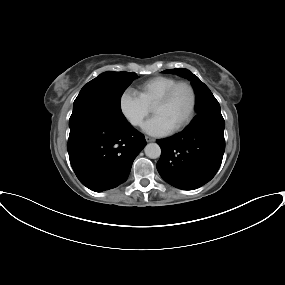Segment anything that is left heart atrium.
I'll use <instances>...</instances> for the list:
<instances>
[{
    "label": "left heart atrium",
    "instance_id": "left-heart-atrium-1",
    "mask_svg": "<svg viewBox=\"0 0 285 285\" xmlns=\"http://www.w3.org/2000/svg\"><path fill=\"white\" fill-rule=\"evenodd\" d=\"M143 130L152 136H165L172 131V128L162 117L154 116L144 124Z\"/></svg>",
    "mask_w": 285,
    "mask_h": 285
}]
</instances>
